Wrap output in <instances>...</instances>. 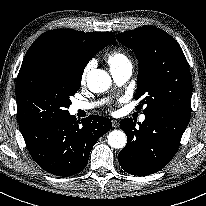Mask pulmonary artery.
Masks as SVG:
<instances>
[{
  "label": "pulmonary artery",
  "mask_w": 206,
  "mask_h": 206,
  "mask_svg": "<svg viewBox=\"0 0 206 206\" xmlns=\"http://www.w3.org/2000/svg\"><path fill=\"white\" fill-rule=\"evenodd\" d=\"M132 66L130 64L120 66L115 69H111V75L113 80L118 84H124L132 75ZM95 107L94 103L84 102V101H75L73 103L74 110H91ZM145 116H140V121H144Z\"/></svg>",
  "instance_id": "1"
}]
</instances>
